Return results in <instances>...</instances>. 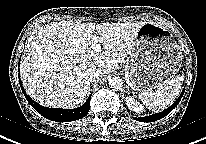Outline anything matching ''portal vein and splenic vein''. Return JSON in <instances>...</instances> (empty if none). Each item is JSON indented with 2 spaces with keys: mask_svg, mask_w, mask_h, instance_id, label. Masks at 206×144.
I'll use <instances>...</instances> for the list:
<instances>
[{
  "mask_svg": "<svg viewBox=\"0 0 206 144\" xmlns=\"http://www.w3.org/2000/svg\"><path fill=\"white\" fill-rule=\"evenodd\" d=\"M92 49L95 51V52H100L102 50V47L100 44H95L92 46Z\"/></svg>",
  "mask_w": 206,
  "mask_h": 144,
  "instance_id": "18ae733b",
  "label": "portal vein and splenic vein"
}]
</instances>
